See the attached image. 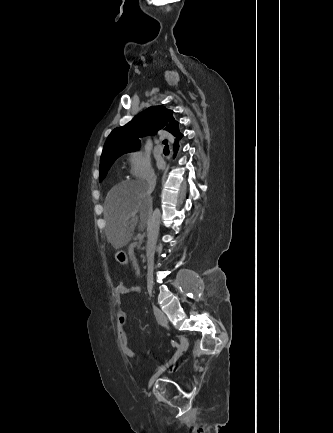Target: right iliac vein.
I'll use <instances>...</instances> for the list:
<instances>
[{
	"label": "right iliac vein",
	"instance_id": "right-iliac-vein-1",
	"mask_svg": "<svg viewBox=\"0 0 333 433\" xmlns=\"http://www.w3.org/2000/svg\"><path fill=\"white\" fill-rule=\"evenodd\" d=\"M167 326V325H166ZM168 327V326H167ZM177 337L180 340V347L178 348L177 352L175 353L173 359L162 369L157 371L150 379L148 387L150 388L155 380L172 364L176 363L177 359L182 355L183 351H185L188 348L189 342L188 339L184 335L177 334Z\"/></svg>",
	"mask_w": 333,
	"mask_h": 433
}]
</instances>
